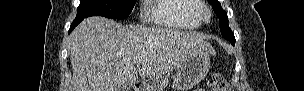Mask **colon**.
<instances>
[{
  "label": "colon",
  "instance_id": "5ec220e1",
  "mask_svg": "<svg viewBox=\"0 0 304 91\" xmlns=\"http://www.w3.org/2000/svg\"><path fill=\"white\" fill-rule=\"evenodd\" d=\"M210 90L212 91H231L232 88L228 84L227 80L224 76L220 74H215L212 78V83L210 86Z\"/></svg>",
  "mask_w": 304,
  "mask_h": 91
}]
</instances>
